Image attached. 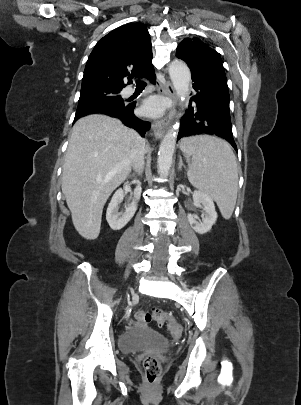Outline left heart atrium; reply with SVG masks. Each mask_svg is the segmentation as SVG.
<instances>
[{
  "label": "left heart atrium",
  "mask_w": 301,
  "mask_h": 405,
  "mask_svg": "<svg viewBox=\"0 0 301 405\" xmlns=\"http://www.w3.org/2000/svg\"><path fill=\"white\" fill-rule=\"evenodd\" d=\"M164 110V103L158 98H150L144 102L141 112L146 115L156 116Z\"/></svg>",
  "instance_id": "1"
}]
</instances>
